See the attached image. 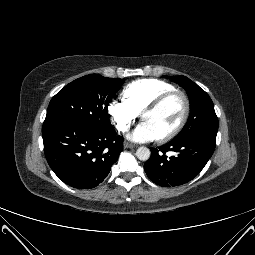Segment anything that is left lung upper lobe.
Listing matches in <instances>:
<instances>
[{
  "label": "left lung upper lobe",
  "instance_id": "obj_1",
  "mask_svg": "<svg viewBox=\"0 0 255 255\" xmlns=\"http://www.w3.org/2000/svg\"><path fill=\"white\" fill-rule=\"evenodd\" d=\"M190 100V116L182 131L172 141L203 138L216 141L218 118L209 95L185 76L174 77Z\"/></svg>",
  "mask_w": 255,
  "mask_h": 255
}]
</instances>
